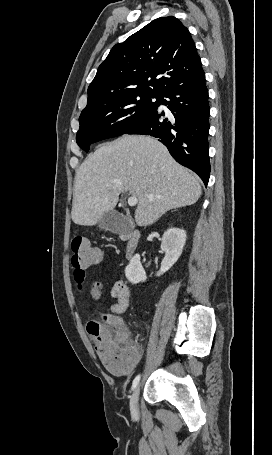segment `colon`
<instances>
[{
  "label": "colon",
  "mask_w": 272,
  "mask_h": 455,
  "mask_svg": "<svg viewBox=\"0 0 272 455\" xmlns=\"http://www.w3.org/2000/svg\"><path fill=\"white\" fill-rule=\"evenodd\" d=\"M71 251L77 289L82 294L88 291L92 298L100 299L103 296V287L97 282L88 284L86 269L101 262V250L92 246L87 238L75 237L71 242ZM87 332L106 369L119 372L130 368L136 358V347L126 337L121 334L114 335L99 322L88 323Z\"/></svg>",
  "instance_id": "obj_1"
}]
</instances>
